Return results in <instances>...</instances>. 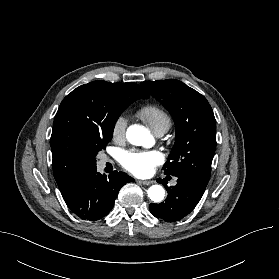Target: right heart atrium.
<instances>
[{
	"label": "right heart atrium",
	"mask_w": 279,
	"mask_h": 279,
	"mask_svg": "<svg viewBox=\"0 0 279 279\" xmlns=\"http://www.w3.org/2000/svg\"><path fill=\"white\" fill-rule=\"evenodd\" d=\"M127 123V118L124 115H119L115 118L111 128V135L115 141L124 139L126 135Z\"/></svg>",
	"instance_id": "d8ad5b80"
}]
</instances>
